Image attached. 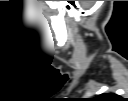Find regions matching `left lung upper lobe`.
<instances>
[{
    "mask_svg": "<svg viewBox=\"0 0 128 101\" xmlns=\"http://www.w3.org/2000/svg\"><path fill=\"white\" fill-rule=\"evenodd\" d=\"M117 95L112 94V93H108V94H102L99 96V99H107L106 101H114L115 99H117Z\"/></svg>",
    "mask_w": 128,
    "mask_h": 101,
    "instance_id": "left-lung-upper-lobe-1",
    "label": "left lung upper lobe"
}]
</instances>
